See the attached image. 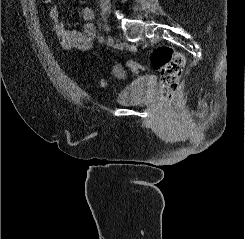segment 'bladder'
I'll return each instance as SVG.
<instances>
[{
	"mask_svg": "<svg viewBox=\"0 0 245 239\" xmlns=\"http://www.w3.org/2000/svg\"><path fill=\"white\" fill-rule=\"evenodd\" d=\"M153 83L149 82L146 78L135 79L118 93L116 102L118 104L136 105L146 101L151 93Z\"/></svg>",
	"mask_w": 245,
	"mask_h": 239,
	"instance_id": "31cf9c89",
	"label": "bladder"
}]
</instances>
